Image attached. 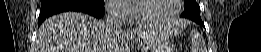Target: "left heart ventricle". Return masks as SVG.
I'll use <instances>...</instances> for the list:
<instances>
[{"label":"left heart ventricle","mask_w":261,"mask_h":52,"mask_svg":"<svg viewBox=\"0 0 261 52\" xmlns=\"http://www.w3.org/2000/svg\"><path fill=\"white\" fill-rule=\"evenodd\" d=\"M142 15L163 18L174 10V0H147L138 2Z\"/></svg>","instance_id":"b2bd125f"}]
</instances>
